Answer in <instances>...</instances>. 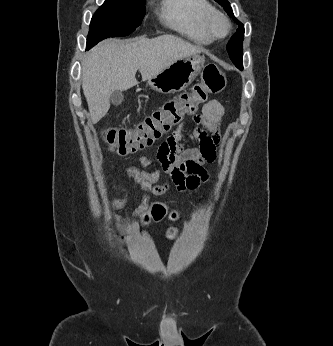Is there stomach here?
<instances>
[{"label":"stomach","instance_id":"1","mask_svg":"<svg viewBox=\"0 0 333 346\" xmlns=\"http://www.w3.org/2000/svg\"><path fill=\"white\" fill-rule=\"evenodd\" d=\"M204 62L205 57L199 54L179 59L149 78L147 84L163 94L180 92L194 81L204 67Z\"/></svg>","mask_w":333,"mask_h":346}]
</instances>
